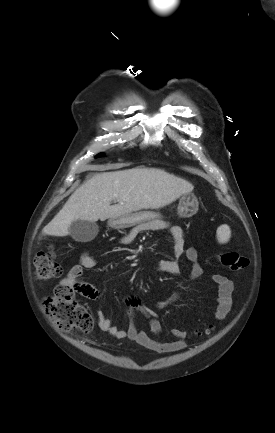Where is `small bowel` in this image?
Returning a JSON list of instances; mask_svg holds the SVG:
<instances>
[{
	"mask_svg": "<svg viewBox=\"0 0 275 433\" xmlns=\"http://www.w3.org/2000/svg\"><path fill=\"white\" fill-rule=\"evenodd\" d=\"M162 226L167 227L166 224ZM169 232L174 243V258L159 262L156 271L178 275L180 274L179 260L186 258L191 263L189 277L191 279L200 278L203 274V268L198 261L197 250L193 247H184V232L180 226H171ZM136 235L137 230H132L122 237L121 242L129 244L135 239ZM96 265L97 260L95 257L87 253L82 254L79 263L70 269L66 277L61 281V285L71 288L87 299L97 300L100 296L98 288L82 278L85 269L94 268ZM212 281L217 288V306L214 317L217 320H221L224 319L231 310L234 285L226 275L220 273L213 274ZM127 303L129 305L127 312L129 326L127 329H119L113 326L111 321L103 315L102 312L97 311L96 318L99 328L118 339L134 341L157 353L176 352L187 346V334L179 329H173L171 331L172 336L175 338L173 341H160L156 339L155 336H158L161 332V324L157 320L155 312L148 305L143 303L139 297H131L127 300ZM138 314H142L148 318L150 332L154 337L137 328L135 320Z\"/></svg>",
	"mask_w": 275,
	"mask_h": 433,
	"instance_id": "c3829d8e",
	"label": "small bowel"
}]
</instances>
